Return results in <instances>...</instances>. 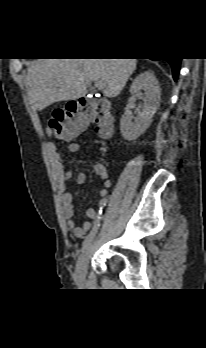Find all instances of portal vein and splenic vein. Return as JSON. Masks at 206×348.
I'll return each instance as SVG.
<instances>
[{
  "label": "portal vein and splenic vein",
  "mask_w": 206,
  "mask_h": 348,
  "mask_svg": "<svg viewBox=\"0 0 206 348\" xmlns=\"http://www.w3.org/2000/svg\"><path fill=\"white\" fill-rule=\"evenodd\" d=\"M94 85L96 88H102L104 86L102 81H95Z\"/></svg>",
  "instance_id": "obj_1"
}]
</instances>
